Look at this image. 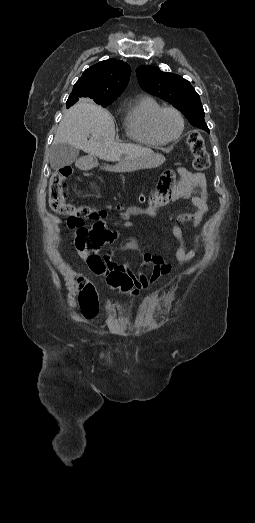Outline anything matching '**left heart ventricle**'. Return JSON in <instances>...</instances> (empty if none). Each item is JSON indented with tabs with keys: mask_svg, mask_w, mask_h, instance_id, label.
Listing matches in <instances>:
<instances>
[{
	"mask_svg": "<svg viewBox=\"0 0 255 523\" xmlns=\"http://www.w3.org/2000/svg\"><path fill=\"white\" fill-rule=\"evenodd\" d=\"M157 126L160 134L164 138L170 139L179 133L180 121L174 112L165 111L160 115Z\"/></svg>",
	"mask_w": 255,
	"mask_h": 523,
	"instance_id": "obj_1",
	"label": "left heart ventricle"
}]
</instances>
